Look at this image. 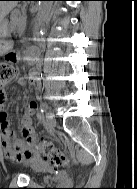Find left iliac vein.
<instances>
[{
    "instance_id": "4c4485c4",
    "label": "left iliac vein",
    "mask_w": 137,
    "mask_h": 189,
    "mask_svg": "<svg viewBox=\"0 0 137 189\" xmlns=\"http://www.w3.org/2000/svg\"><path fill=\"white\" fill-rule=\"evenodd\" d=\"M46 117H47L48 128L50 129L53 128L56 124L54 113L52 111H48Z\"/></svg>"
}]
</instances>
